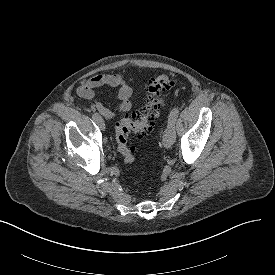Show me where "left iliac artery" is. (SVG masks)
Here are the masks:
<instances>
[{"label": "left iliac artery", "instance_id": "left-iliac-artery-1", "mask_svg": "<svg viewBox=\"0 0 275 275\" xmlns=\"http://www.w3.org/2000/svg\"><path fill=\"white\" fill-rule=\"evenodd\" d=\"M178 115H179V110L177 108H174L169 114L168 123L175 124V121Z\"/></svg>", "mask_w": 275, "mask_h": 275}]
</instances>
